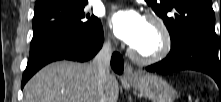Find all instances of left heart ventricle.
<instances>
[{
    "instance_id": "obj_1",
    "label": "left heart ventricle",
    "mask_w": 221,
    "mask_h": 102,
    "mask_svg": "<svg viewBox=\"0 0 221 102\" xmlns=\"http://www.w3.org/2000/svg\"><path fill=\"white\" fill-rule=\"evenodd\" d=\"M161 44L162 37L158 28L146 20L141 37L132 47L142 55H152L160 49Z\"/></svg>"
}]
</instances>
